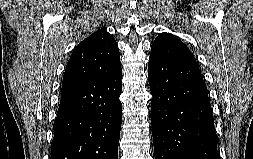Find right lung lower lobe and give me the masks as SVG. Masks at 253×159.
Returning <instances> with one entry per match:
<instances>
[{
	"label": "right lung lower lobe",
	"mask_w": 253,
	"mask_h": 159,
	"mask_svg": "<svg viewBox=\"0 0 253 159\" xmlns=\"http://www.w3.org/2000/svg\"><path fill=\"white\" fill-rule=\"evenodd\" d=\"M121 67L61 97L50 159H118Z\"/></svg>",
	"instance_id": "98d812e1"
}]
</instances>
